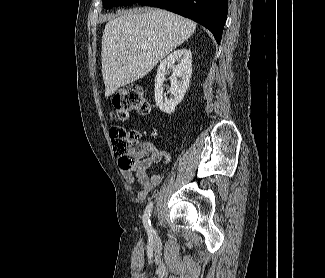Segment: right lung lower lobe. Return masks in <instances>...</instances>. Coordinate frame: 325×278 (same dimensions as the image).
<instances>
[{
    "label": "right lung lower lobe",
    "instance_id": "right-lung-lower-lobe-1",
    "mask_svg": "<svg viewBox=\"0 0 325 278\" xmlns=\"http://www.w3.org/2000/svg\"><path fill=\"white\" fill-rule=\"evenodd\" d=\"M227 0H137L136 3L169 10L209 29L217 43L222 37L228 11Z\"/></svg>",
    "mask_w": 325,
    "mask_h": 278
}]
</instances>
